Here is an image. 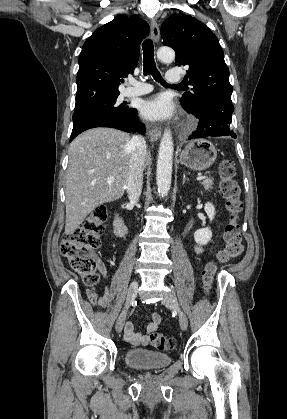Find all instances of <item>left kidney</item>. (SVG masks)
I'll return each mask as SVG.
<instances>
[{
  "label": "left kidney",
  "mask_w": 287,
  "mask_h": 419,
  "mask_svg": "<svg viewBox=\"0 0 287 419\" xmlns=\"http://www.w3.org/2000/svg\"><path fill=\"white\" fill-rule=\"evenodd\" d=\"M204 209L210 221H212L215 216L214 205L210 202H207L205 204ZM211 238H212V231L210 228H201V229H198L194 233V240L196 241V243L200 245H206L211 240Z\"/></svg>",
  "instance_id": "left-kidney-1"
}]
</instances>
